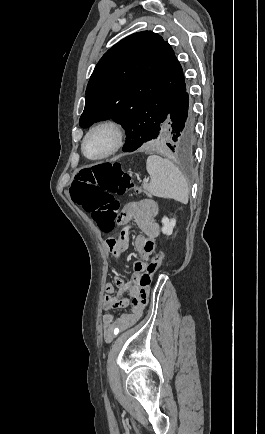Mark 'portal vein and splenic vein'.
Returning <instances> with one entry per match:
<instances>
[{"label":"portal vein and splenic vein","mask_w":265,"mask_h":434,"mask_svg":"<svg viewBox=\"0 0 265 434\" xmlns=\"http://www.w3.org/2000/svg\"><path fill=\"white\" fill-rule=\"evenodd\" d=\"M144 182H149L148 178H146V180H144Z\"/></svg>","instance_id":"obj_1"}]
</instances>
